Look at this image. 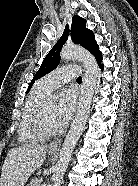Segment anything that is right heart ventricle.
<instances>
[{"mask_svg":"<svg viewBox=\"0 0 138 186\" xmlns=\"http://www.w3.org/2000/svg\"><path fill=\"white\" fill-rule=\"evenodd\" d=\"M49 92L50 91L42 86L40 80L32 88L26 100L18 128V140L21 144L31 145L43 139V137H41L34 131L32 127V119L35 112L37 111L41 103L46 99Z\"/></svg>","mask_w":138,"mask_h":186,"instance_id":"right-heart-ventricle-1","label":"right heart ventricle"}]
</instances>
